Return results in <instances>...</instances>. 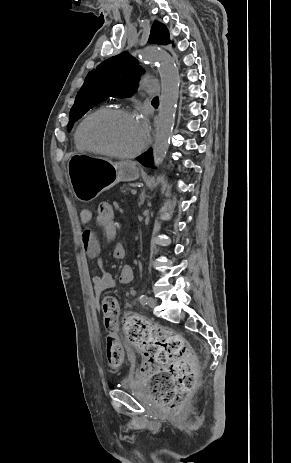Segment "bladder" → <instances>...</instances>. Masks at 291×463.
Returning <instances> with one entry per match:
<instances>
[{"instance_id":"obj_1","label":"bladder","mask_w":291,"mask_h":463,"mask_svg":"<svg viewBox=\"0 0 291 463\" xmlns=\"http://www.w3.org/2000/svg\"><path fill=\"white\" fill-rule=\"evenodd\" d=\"M129 359L132 360V356H129ZM139 383L134 375L127 374L123 379L118 383V386L121 388H130L138 386Z\"/></svg>"}]
</instances>
